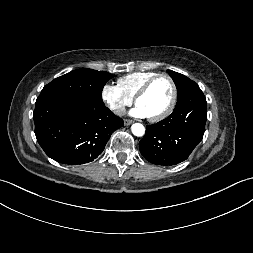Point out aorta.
<instances>
[{
	"label": "aorta",
	"instance_id": "obj_1",
	"mask_svg": "<svg viewBox=\"0 0 253 253\" xmlns=\"http://www.w3.org/2000/svg\"><path fill=\"white\" fill-rule=\"evenodd\" d=\"M131 130H132V133L135 135V136H143L145 134V128L142 124L140 123H135L131 126Z\"/></svg>",
	"mask_w": 253,
	"mask_h": 253
}]
</instances>
